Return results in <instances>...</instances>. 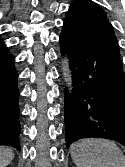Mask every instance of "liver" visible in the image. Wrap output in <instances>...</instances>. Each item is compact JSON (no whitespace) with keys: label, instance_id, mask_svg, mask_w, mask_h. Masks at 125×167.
I'll use <instances>...</instances> for the list:
<instances>
[{"label":"liver","instance_id":"obj_1","mask_svg":"<svg viewBox=\"0 0 125 167\" xmlns=\"http://www.w3.org/2000/svg\"><path fill=\"white\" fill-rule=\"evenodd\" d=\"M14 158L12 148L0 146V167H6Z\"/></svg>","mask_w":125,"mask_h":167}]
</instances>
